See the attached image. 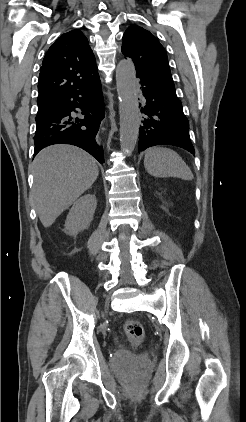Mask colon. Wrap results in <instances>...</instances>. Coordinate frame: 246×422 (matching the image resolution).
I'll list each match as a JSON object with an SVG mask.
<instances>
[{
	"label": "colon",
	"instance_id": "obj_1",
	"mask_svg": "<svg viewBox=\"0 0 246 422\" xmlns=\"http://www.w3.org/2000/svg\"><path fill=\"white\" fill-rule=\"evenodd\" d=\"M124 332L129 342L135 346L143 343L145 331L143 325L135 319H129L124 324Z\"/></svg>",
	"mask_w": 246,
	"mask_h": 422
}]
</instances>
